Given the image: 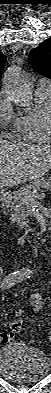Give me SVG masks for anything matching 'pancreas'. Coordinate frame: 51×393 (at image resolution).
Instances as JSON below:
<instances>
[{
    "label": "pancreas",
    "instance_id": "obj_1",
    "mask_svg": "<svg viewBox=\"0 0 51 393\" xmlns=\"http://www.w3.org/2000/svg\"><path fill=\"white\" fill-rule=\"evenodd\" d=\"M51 189V179L42 177L33 180L29 185H25L21 189L15 191L13 196L8 200V206L13 212L10 220L18 227H27L29 220L26 215V204L29 202L28 196L38 194L39 192Z\"/></svg>",
    "mask_w": 51,
    "mask_h": 393
}]
</instances>
